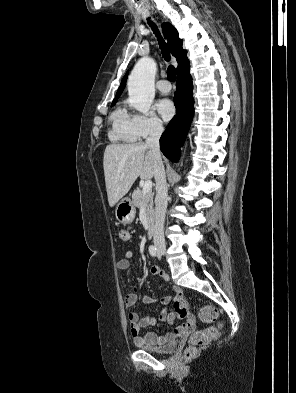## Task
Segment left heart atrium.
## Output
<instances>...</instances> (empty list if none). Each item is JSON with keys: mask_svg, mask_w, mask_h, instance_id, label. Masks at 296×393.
<instances>
[{"mask_svg": "<svg viewBox=\"0 0 296 393\" xmlns=\"http://www.w3.org/2000/svg\"><path fill=\"white\" fill-rule=\"evenodd\" d=\"M156 110L165 121H169L175 114V106L173 102L167 98L160 99L156 103Z\"/></svg>", "mask_w": 296, "mask_h": 393, "instance_id": "39dd6f15", "label": "left heart atrium"}]
</instances>
